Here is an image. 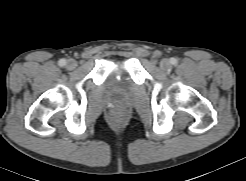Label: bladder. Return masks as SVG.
I'll return each instance as SVG.
<instances>
[{
	"mask_svg": "<svg viewBox=\"0 0 246 181\" xmlns=\"http://www.w3.org/2000/svg\"><path fill=\"white\" fill-rule=\"evenodd\" d=\"M126 83H127L126 78L124 76H122L120 79L119 85L121 87H124Z\"/></svg>",
	"mask_w": 246,
	"mask_h": 181,
	"instance_id": "bladder-1",
	"label": "bladder"
}]
</instances>
